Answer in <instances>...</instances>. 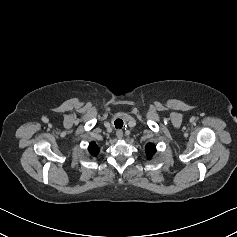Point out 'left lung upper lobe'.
Returning a JSON list of instances; mask_svg holds the SVG:
<instances>
[{
    "instance_id": "left-lung-upper-lobe-1",
    "label": "left lung upper lobe",
    "mask_w": 237,
    "mask_h": 237,
    "mask_svg": "<svg viewBox=\"0 0 237 237\" xmlns=\"http://www.w3.org/2000/svg\"><path fill=\"white\" fill-rule=\"evenodd\" d=\"M145 151L147 154V157L150 159L156 152V147L152 143H149L145 146Z\"/></svg>"
}]
</instances>
